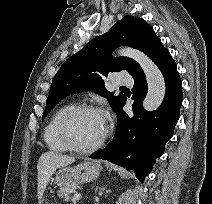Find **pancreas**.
Instances as JSON below:
<instances>
[{"mask_svg": "<svg viewBox=\"0 0 212 204\" xmlns=\"http://www.w3.org/2000/svg\"><path fill=\"white\" fill-rule=\"evenodd\" d=\"M77 185L62 188L58 191V195L63 197L65 201H71V195L76 194Z\"/></svg>", "mask_w": 212, "mask_h": 204, "instance_id": "1", "label": "pancreas"}]
</instances>
